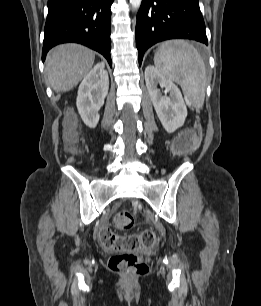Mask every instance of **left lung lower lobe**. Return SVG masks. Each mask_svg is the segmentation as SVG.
<instances>
[{"label": "left lung lower lobe", "mask_w": 261, "mask_h": 306, "mask_svg": "<svg viewBox=\"0 0 261 306\" xmlns=\"http://www.w3.org/2000/svg\"><path fill=\"white\" fill-rule=\"evenodd\" d=\"M176 38L208 45L199 0H142L136 23L139 65L149 47Z\"/></svg>", "instance_id": "left-lung-lower-lobe-1"}]
</instances>
